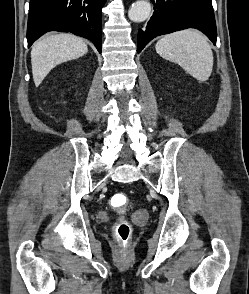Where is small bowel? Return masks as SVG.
Returning <instances> with one entry per match:
<instances>
[{
    "label": "small bowel",
    "mask_w": 249,
    "mask_h": 294,
    "mask_svg": "<svg viewBox=\"0 0 249 294\" xmlns=\"http://www.w3.org/2000/svg\"><path fill=\"white\" fill-rule=\"evenodd\" d=\"M138 217L141 218V219H143L145 217V213L143 211H140L138 213Z\"/></svg>",
    "instance_id": "c3829d8e"
}]
</instances>
